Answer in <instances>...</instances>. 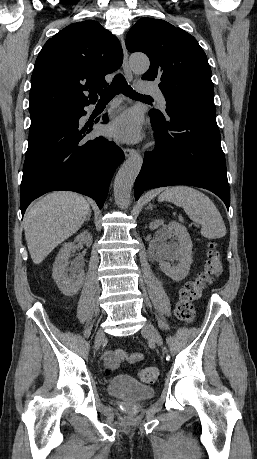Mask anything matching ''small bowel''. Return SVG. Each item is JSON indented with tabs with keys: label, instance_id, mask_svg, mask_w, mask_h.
<instances>
[{
	"label": "small bowel",
	"instance_id": "1",
	"mask_svg": "<svg viewBox=\"0 0 257 459\" xmlns=\"http://www.w3.org/2000/svg\"><path fill=\"white\" fill-rule=\"evenodd\" d=\"M104 362L110 368H116L122 361L136 363L141 361L144 356L139 352H132L130 350L119 348L116 350H107L104 353Z\"/></svg>",
	"mask_w": 257,
	"mask_h": 459
}]
</instances>
